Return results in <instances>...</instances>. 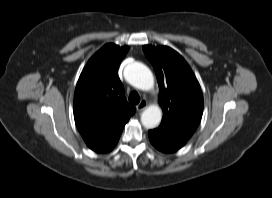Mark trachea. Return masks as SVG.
<instances>
[{
  "instance_id": "obj_1",
  "label": "trachea",
  "mask_w": 272,
  "mask_h": 198,
  "mask_svg": "<svg viewBox=\"0 0 272 198\" xmlns=\"http://www.w3.org/2000/svg\"><path fill=\"white\" fill-rule=\"evenodd\" d=\"M129 102L134 105H136L140 102V96L136 91H132L129 94Z\"/></svg>"
}]
</instances>
